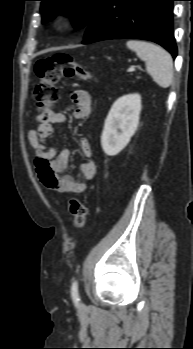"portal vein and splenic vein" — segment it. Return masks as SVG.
<instances>
[{
	"label": "portal vein and splenic vein",
	"mask_w": 193,
	"mask_h": 349,
	"mask_svg": "<svg viewBox=\"0 0 193 349\" xmlns=\"http://www.w3.org/2000/svg\"><path fill=\"white\" fill-rule=\"evenodd\" d=\"M129 72H133L135 71V67L134 66H131L129 69H128Z\"/></svg>",
	"instance_id": "obj_1"
}]
</instances>
